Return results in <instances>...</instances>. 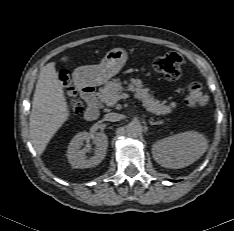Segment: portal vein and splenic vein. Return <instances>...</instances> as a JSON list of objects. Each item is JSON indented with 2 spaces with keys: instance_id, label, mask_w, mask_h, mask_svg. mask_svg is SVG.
Returning a JSON list of instances; mask_svg holds the SVG:
<instances>
[{
  "instance_id": "obj_1",
  "label": "portal vein and splenic vein",
  "mask_w": 234,
  "mask_h": 231,
  "mask_svg": "<svg viewBox=\"0 0 234 231\" xmlns=\"http://www.w3.org/2000/svg\"><path fill=\"white\" fill-rule=\"evenodd\" d=\"M129 98V95L126 93H123L121 95H119V97L117 99H113L109 104H114L116 103L119 99H126Z\"/></svg>"
}]
</instances>
